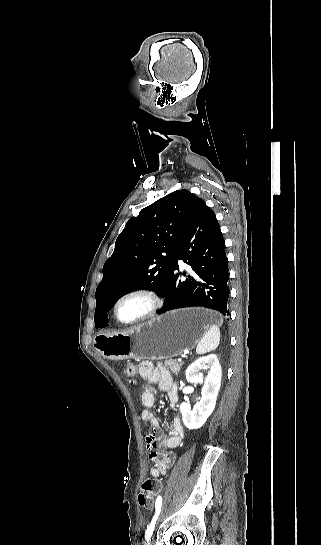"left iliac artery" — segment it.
Listing matches in <instances>:
<instances>
[{
    "instance_id": "obj_1",
    "label": "left iliac artery",
    "mask_w": 321,
    "mask_h": 545,
    "mask_svg": "<svg viewBox=\"0 0 321 545\" xmlns=\"http://www.w3.org/2000/svg\"><path fill=\"white\" fill-rule=\"evenodd\" d=\"M156 512H155V515L151 521V523L148 525L147 527V530L145 532V539L147 542L150 541V538L152 536V533H153V530H154V527H155V524H156V520L160 514V511H161V506H162V498L161 496H159L156 500Z\"/></svg>"
}]
</instances>
